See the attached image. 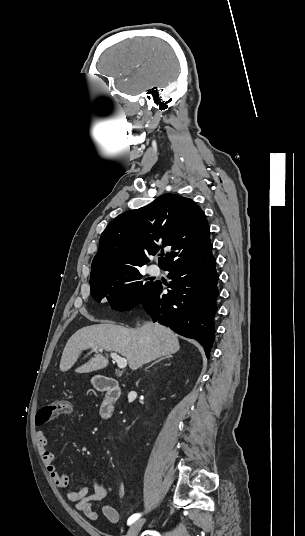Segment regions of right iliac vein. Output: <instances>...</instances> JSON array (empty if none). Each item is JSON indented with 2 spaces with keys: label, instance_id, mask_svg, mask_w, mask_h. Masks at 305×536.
Returning <instances> with one entry per match:
<instances>
[{
  "label": "right iliac vein",
  "instance_id": "right-iliac-vein-1",
  "mask_svg": "<svg viewBox=\"0 0 305 536\" xmlns=\"http://www.w3.org/2000/svg\"><path fill=\"white\" fill-rule=\"evenodd\" d=\"M144 523V520L143 519H140V520H137L136 522H134L129 530H128V533H127V536H137L142 525Z\"/></svg>",
  "mask_w": 305,
  "mask_h": 536
}]
</instances>
